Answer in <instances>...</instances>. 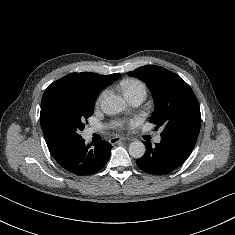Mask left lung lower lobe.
<instances>
[{
  "label": "left lung lower lobe",
  "instance_id": "left-lung-lower-lobe-1",
  "mask_svg": "<svg viewBox=\"0 0 235 235\" xmlns=\"http://www.w3.org/2000/svg\"><path fill=\"white\" fill-rule=\"evenodd\" d=\"M145 155L136 161L138 167L150 174L169 173L181 166L192 152L196 140L182 136H163L161 142L152 147L145 142Z\"/></svg>",
  "mask_w": 235,
  "mask_h": 235
}]
</instances>
